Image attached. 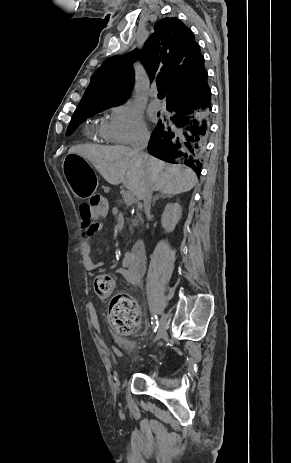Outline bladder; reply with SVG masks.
Segmentation results:
<instances>
[{
	"label": "bladder",
	"mask_w": 291,
	"mask_h": 463,
	"mask_svg": "<svg viewBox=\"0 0 291 463\" xmlns=\"http://www.w3.org/2000/svg\"><path fill=\"white\" fill-rule=\"evenodd\" d=\"M118 347L124 353H131L135 350V345L130 339L122 338L118 340Z\"/></svg>",
	"instance_id": "1"
}]
</instances>
